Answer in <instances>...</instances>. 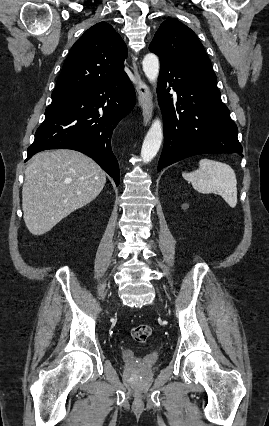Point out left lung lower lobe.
<instances>
[{"label":"left lung lower lobe","mask_w":269,"mask_h":426,"mask_svg":"<svg viewBox=\"0 0 269 426\" xmlns=\"http://www.w3.org/2000/svg\"><path fill=\"white\" fill-rule=\"evenodd\" d=\"M159 104L164 147L158 171L184 158L205 153H239L237 126L217 88V78L183 65L160 61ZM167 82L177 93L173 102Z\"/></svg>","instance_id":"left-lung-lower-lobe-1"}]
</instances>
